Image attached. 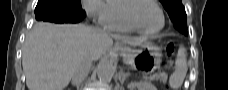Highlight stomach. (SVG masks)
Instances as JSON below:
<instances>
[{
	"label": "stomach",
	"mask_w": 228,
	"mask_h": 90,
	"mask_svg": "<svg viewBox=\"0 0 228 90\" xmlns=\"http://www.w3.org/2000/svg\"><path fill=\"white\" fill-rule=\"evenodd\" d=\"M128 54L124 60L129 65L144 71H154L161 63V49L149 41H146L139 50H129Z\"/></svg>",
	"instance_id": "stomach-1"
}]
</instances>
